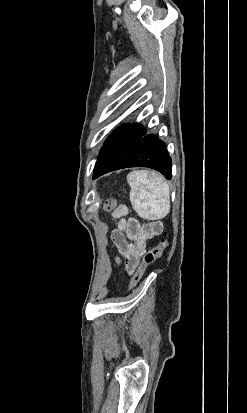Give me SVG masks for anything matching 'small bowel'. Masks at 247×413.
<instances>
[{
	"instance_id": "obj_1",
	"label": "small bowel",
	"mask_w": 247,
	"mask_h": 413,
	"mask_svg": "<svg viewBox=\"0 0 247 413\" xmlns=\"http://www.w3.org/2000/svg\"><path fill=\"white\" fill-rule=\"evenodd\" d=\"M126 206H119L113 212V217L119 219L117 229L111 233L119 253L125 258L126 266L133 271L140 262V255L146 250L147 242L159 235L163 223L159 220L140 223L134 218L126 219Z\"/></svg>"
}]
</instances>
